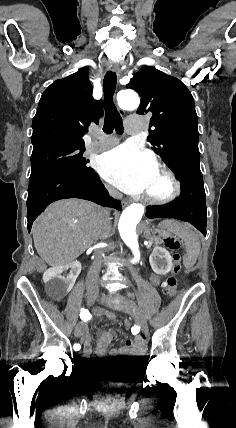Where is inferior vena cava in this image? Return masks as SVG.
<instances>
[{"instance_id": "1", "label": "inferior vena cava", "mask_w": 236, "mask_h": 428, "mask_svg": "<svg viewBox=\"0 0 236 428\" xmlns=\"http://www.w3.org/2000/svg\"><path fill=\"white\" fill-rule=\"evenodd\" d=\"M108 190L111 196H115L116 192H114L113 188H108ZM104 214L106 216V224H111L113 219L112 216L109 215V212H104ZM104 252L105 249H96V252L93 254L95 256L94 262L92 266L88 269L87 282L84 285L87 287L85 294L89 298H95L98 296V293L101 292L98 288L99 282L97 280L101 267L100 258L104 255Z\"/></svg>"}]
</instances>
